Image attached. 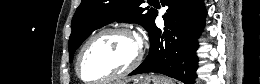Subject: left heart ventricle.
Segmentation results:
<instances>
[{"label":"left heart ventricle","instance_id":"left-heart-ventricle-1","mask_svg":"<svg viewBox=\"0 0 260 84\" xmlns=\"http://www.w3.org/2000/svg\"><path fill=\"white\" fill-rule=\"evenodd\" d=\"M138 43L121 33H105L87 49L81 73L87 80H99L123 71L135 59Z\"/></svg>","mask_w":260,"mask_h":84}]
</instances>
